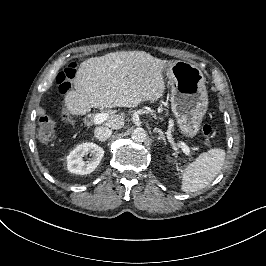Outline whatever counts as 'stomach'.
<instances>
[{"instance_id":"1","label":"stomach","mask_w":266,"mask_h":266,"mask_svg":"<svg viewBox=\"0 0 266 266\" xmlns=\"http://www.w3.org/2000/svg\"><path fill=\"white\" fill-rule=\"evenodd\" d=\"M164 73L171 86V108L180 131L193 138L208 107L205 77L198 67L182 61L169 62Z\"/></svg>"}]
</instances>
